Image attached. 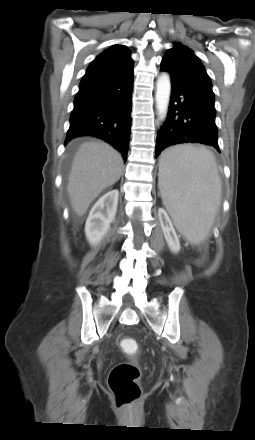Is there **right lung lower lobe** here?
<instances>
[{
	"label": "right lung lower lobe",
	"mask_w": 255,
	"mask_h": 440,
	"mask_svg": "<svg viewBox=\"0 0 255 440\" xmlns=\"http://www.w3.org/2000/svg\"><path fill=\"white\" fill-rule=\"evenodd\" d=\"M133 90V66L107 79L79 86L65 142L96 136L110 143L126 159Z\"/></svg>",
	"instance_id": "1"
}]
</instances>
